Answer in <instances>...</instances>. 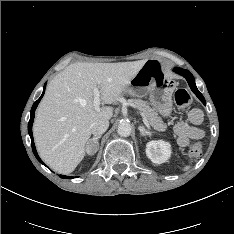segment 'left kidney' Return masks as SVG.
I'll return each mask as SVG.
<instances>
[{
	"label": "left kidney",
	"mask_w": 234,
	"mask_h": 234,
	"mask_svg": "<svg viewBox=\"0 0 234 234\" xmlns=\"http://www.w3.org/2000/svg\"><path fill=\"white\" fill-rule=\"evenodd\" d=\"M146 155L155 164L165 163L171 156V145L163 140H152L146 144Z\"/></svg>",
	"instance_id": "obj_1"
}]
</instances>
